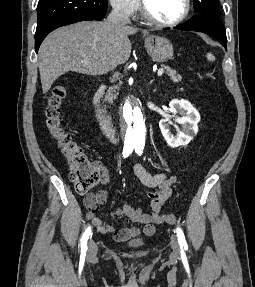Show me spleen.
<instances>
[{
  "instance_id": "3e777b00",
  "label": "spleen",
  "mask_w": 255,
  "mask_h": 287,
  "mask_svg": "<svg viewBox=\"0 0 255 287\" xmlns=\"http://www.w3.org/2000/svg\"><path fill=\"white\" fill-rule=\"evenodd\" d=\"M207 58L208 60H214V56H212V54H207Z\"/></svg>"
}]
</instances>
